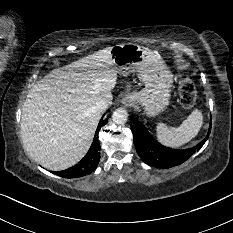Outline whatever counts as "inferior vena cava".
<instances>
[{
	"label": "inferior vena cava",
	"mask_w": 233,
	"mask_h": 233,
	"mask_svg": "<svg viewBox=\"0 0 233 233\" xmlns=\"http://www.w3.org/2000/svg\"><path fill=\"white\" fill-rule=\"evenodd\" d=\"M108 105L109 102H107L106 100H100L96 102V104L93 106V110L98 113H102L107 109Z\"/></svg>",
	"instance_id": "1"
}]
</instances>
